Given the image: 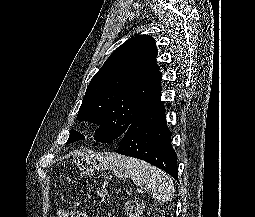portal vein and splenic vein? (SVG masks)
<instances>
[{
    "mask_svg": "<svg viewBox=\"0 0 255 217\" xmlns=\"http://www.w3.org/2000/svg\"><path fill=\"white\" fill-rule=\"evenodd\" d=\"M137 192L140 193V192H142V191H141L140 189H137Z\"/></svg>",
    "mask_w": 255,
    "mask_h": 217,
    "instance_id": "obj_1",
    "label": "portal vein and splenic vein"
}]
</instances>
